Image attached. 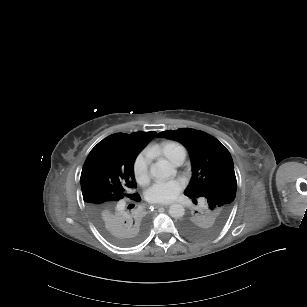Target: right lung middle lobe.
Listing matches in <instances>:
<instances>
[{
  "mask_svg": "<svg viewBox=\"0 0 307 307\" xmlns=\"http://www.w3.org/2000/svg\"><path fill=\"white\" fill-rule=\"evenodd\" d=\"M86 190H87V194L90 198L105 196L106 194H108L111 191L109 186L107 184H104V183H102V184L91 183V184L88 185Z\"/></svg>",
  "mask_w": 307,
  "mask_h": 307,
  "instance_id": "obj_1",
  "label": "right lung middle lobe"
}]
</instances>
